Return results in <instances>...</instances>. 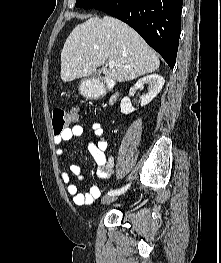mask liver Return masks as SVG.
Segmentation results:
<instances>
[{"instance_id":"obj_1","label":"liver","mask_w":221,"mask_h":263,"mask_svg":"<svg viewBox=\"0 0 221 263\" xmlns=\"http://www.w3.org/2000/svg\"><path fill=\"white\" fill-rule=\"evenodd\" d=\"M113 60L114 67L106 61ZM102 66L106 77L126 82L156 71V53L131 27L113 17L89 18L77 25L61 52V79L64 82L92 75Z\"/></svg>"}]
</instances>
